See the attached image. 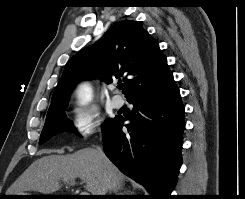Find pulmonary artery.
<instances>
[{
    "instance_id": "e3ab8cb5",
    "label": "pulmonary artery",
    "mask_w": 245,
    "mask_h": 199,
    "mask_svg": "<svg viewBox=\"0 0 245 199\" xmlns=\"http://www.w3.org/2000/svg\"><path fill=\"white\" fill-rule=\"evenodd\" d=\"M115 89V87H113ZM111 104L115 109H120L124 105V100L119 95H114L111 99Z\"/></svg>"
}]
</instances>
